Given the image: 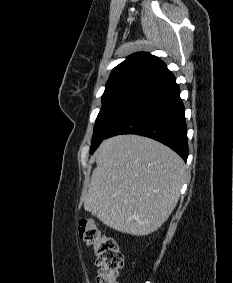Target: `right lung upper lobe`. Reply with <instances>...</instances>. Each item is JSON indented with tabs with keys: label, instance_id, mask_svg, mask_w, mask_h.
<instances>
[{
	"label": "right lung upper lobe",
	"instance_id": "cb5924a9",
	"mask_svg": "<svg viewBox=\"0 0 233 283\" xmlns=\"http://www.w3.org/2000/svg\"><path fill=\"white\" fill-rule=\"evenodd\" d=\"M168 72L158 57L145 52L134 53L113 69L106 88L134 80L151 82Z\"/></svg>",
	"mask_w": 233,
	"mask_h": 283
}]
</instances>
